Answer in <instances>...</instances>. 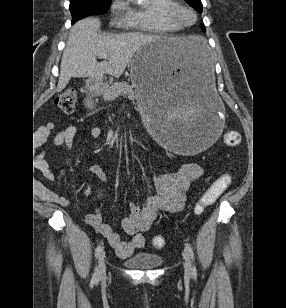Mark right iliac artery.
I'll use <instances>...</instances> for the list:
<instances>
[{
    "instance_id": "right-iliac-artery-1",
    "label": "right iliac artery",
    "mask_w": 286,
    "mask_h": 308,
    "mask_svg": "<svg viewBox=\"0 0 286 308\" xmlns=\"http://www.w3.org/2000/svg\"><path fill=\"white\" fill-rule=\"evenodd\" d=\"M103 247L102 245H99L96 250H95V257L96 259L99 257L100 255V252L102 251ZM97 279V267L95 268V271H94V274L92 276V280H91V283H94Z\"/></svg>"
}]
</instances>
